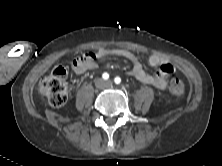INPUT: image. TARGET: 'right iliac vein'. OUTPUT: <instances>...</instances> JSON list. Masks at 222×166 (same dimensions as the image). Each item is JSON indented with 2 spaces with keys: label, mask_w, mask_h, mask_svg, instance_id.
<instances>
[{
  "label": "right iliac vein",
  "mask_w": 222,
  "mask_h": 166,
  "mask_svg": "<svg viewBox=\"0 0 222 166\" xmlns=\"http://www.w3.org/2000/svg\"><path fill=\"white\" fill-rule=\"evenodd\" d=\"M98 85H102V81L101 80L98 81Z\"/></svg>",
  "instance_id": "1"
}]
</instances>
